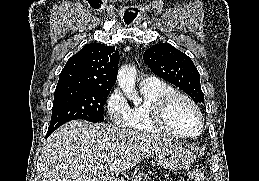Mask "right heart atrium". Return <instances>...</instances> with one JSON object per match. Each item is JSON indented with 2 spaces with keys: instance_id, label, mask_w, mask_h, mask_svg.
I'll list each match as a JSON object with an SVG mask.
<instances>
[{
  "instance_id": "d8ad5b80",
  "label": "right heart atrium",
  "mask_w": 259,
  "mask_h": 181,
  "mask_svg": "<svg viewBox=\"0 0 259 181\" xmlns=\"http://www.w3.org/2000/svg\"><path fill=\"white\" fill-rule=\"evenodd\" d=\"M105 107L111 123L116 127H125L129 116V105L118 89H114L106 99Z\"/></svg>"
}]
</instances>
